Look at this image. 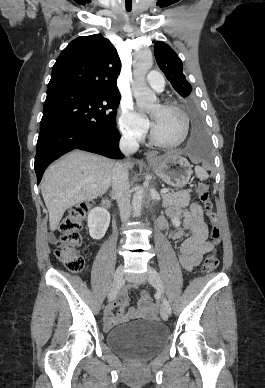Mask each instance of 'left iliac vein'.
I'll return each mask as SVG.
<instances>
[{
  "instance_id": "left-iliac-vein-1",
  "label": "left iliac vein",
  "mask_w": 265,
  "mask_h": 388,
  "mask_svg": "<svg viewBox=\"0 0 265 388\" xmlns=\"http://www.w3.org/2000/svg\"><path fill=\"white\" fill-rule=\"evenodd\" d=\"M147 278H148L150 284L157 289L159 295L163 299L164 298V288H163L162 281L160 279L158 272L151 266H148ZM160 315L164 321H167L169 318V313H168V310L164 304V300H163V303L161 306Z\"/></svg>"
}]
</instances>
